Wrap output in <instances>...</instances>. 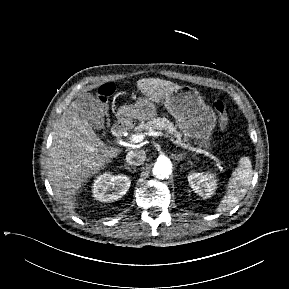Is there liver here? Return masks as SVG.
I'll return each mask as SVG.
<instances>
[{
	"label": "liver",
	"instance_id": "6515ba94",
	"mask_svg": "<svg viewBox=\"0 0 289 289\" xmlns=\"http://www.w3.org/2000/svg\"><path fill=\"white\" fill-rule=\"evenodd\" d=\"M141 93L151 102H161L165 95L181 86L163 79L137 81ZM107 146L80 114L77 100L66 109L56 124L48 160V177L55 196L73 206L75 195L88 178L104 169L121 153Z\"/></svg>",
	"mask_w": 289,
	"mask_h": 289
}]
</instances>
